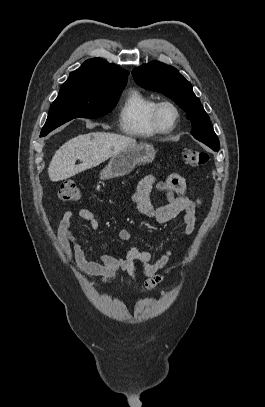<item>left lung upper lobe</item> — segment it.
<instances>
[{
	"mask_svg": "<svg viewBox=\"0 0 265 407\" xmlns=\"http://www.w3.org/2000/svg\"><path fill=\"white\" fill-rule=\"evenodd\" d=\"M135 82L148 90L163 93L180 106L192 122L191 134L195 139L217 151L219 140L192 85L172 66L153 61L133 70Z\"/></svg>",
	"mask_w": 265,
	"mask_h": 407,
	"instance_id": "obj_1",
	"label": "left lung upper lobe"
}]
</instances>
